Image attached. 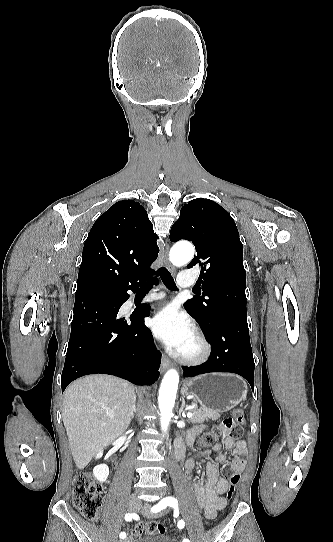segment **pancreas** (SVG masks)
I'll use <instances>...</instances> for the list:
<instances>
[{
	"label": "pancreas",
	"mask_w": 333,
	"mask_h": 542,
	"mask_svg": "<svg viewBox=\"0 0 333 542\" xmlns=\"http://www.w3.org/2000/svg\"><path fill=\"white\" fill-rule=\"evenodd\" d=\"M190 412H193V418H188V424H203L205 420H218V418H221V414L220 412H217V410L194 408V410H190Z\"/></svg>",
	"instance_id": "1"
}]
</instances>
